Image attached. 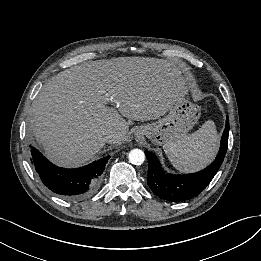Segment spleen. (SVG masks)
I'll use <instances>...</instances> for the list:
<instances>
[{
  "mask_svg": "<svg viewBox=\"0 0 261 261\" xmlns=\"http://www.w3.org/2000/svg\"><path fill=\"white\" fill-rule=\"evenodd\" d=\"M218 145L219 135L215 123L208 120L193 134L168 142L163 149L177 170L193 172L205 167L214 159Z\"/></svg>",
  "mask_w": 261,
  "mask_h": 261,
  "instance_id": "spleen-1",
  "label": "spleen"
}]
</instances>
